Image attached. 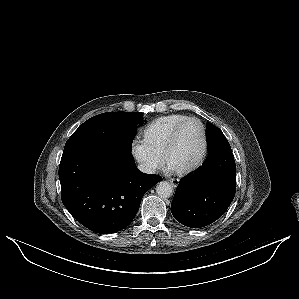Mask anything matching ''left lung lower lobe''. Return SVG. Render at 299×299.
Returning <instances> with one entry per match:
<instances>
[{
	"instance_id": "1",
	"label": "left lung lower lobe",
	"mask_w": 299,
	"mask_h": 299,
	"mask_svg": "<svg viewBox=\"0 0 299 299\" xmlns=\"http://www.w3.org/2000/svg\"><path fill=\"white\" fill-rule=\"evenodd\" d=\"M208 154L201 168L179 181L171 204L174 218L191 228L207 226L220 218L236 191L232 150L208 147Z\"/></svg>"
}]
</instances>
